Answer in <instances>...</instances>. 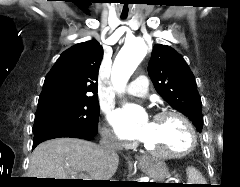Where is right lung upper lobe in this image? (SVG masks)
<instances>
[{
	"label": "right lung upper lobe",
	"instance_id": "cb5924a9",
	"mask_svg": "<svg viewBox=\"0 0 240 187\" xmlns=\"http://www.w3.org/2000/svg\"><path fill=\"white\" fill-rule=\"evenodd\" d=\"M103 48L95 40L64 51L46 75L38 105L59 100L97 99Z\"/></svg>",
	"mask_w": 240,
	"mask_h": 187
}]
</instances>
